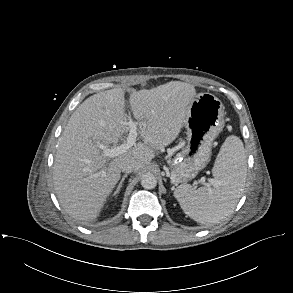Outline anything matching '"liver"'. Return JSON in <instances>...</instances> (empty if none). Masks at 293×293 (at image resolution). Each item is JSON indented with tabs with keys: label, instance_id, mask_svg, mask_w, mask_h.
Returning <instances> with one entry per match:
<instances>
[{
	"label": "liver",
	"instance_id": "liver-1",
	"mask_svg": "<svg viewBox=\"0 0 293 293\" xmlns=\"http://www.w3.org/2000/svg\"><path fill=\"white\" fill-rule=\"evenodd\" d=\"M196 90L171 81L150 90L132 91L129 98L140 126L139 142L110 159L101 146L116 144L128 132L124 90L114 88L87 98L71 115L62 135L53 167L54 189L65 212L78 221H92L120 180L129 161L134 172L147 166L155 151L163 150L181 132Z\"/></svg>",
	"mask_w": 293,
	"mask_h": 293
}]
</instances>
